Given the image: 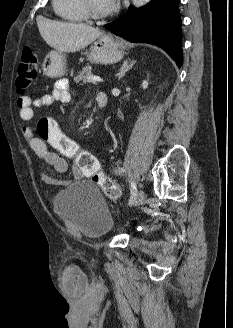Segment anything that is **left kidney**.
Instances as JSON below:
<instances>
[{"label": "left kidney", "instance_id": "obj_1", "mask_svg": "<svg viewBox=\"0 0 233 328\" xmlns=\"http://www.w3.org/2000/svg\"><path fill=\"white\" fill-rule=\"evenodd\" d=\"M142 87H143V89H146L148 87V81L144 80L142 82Z\"/></svg>", "mask_w": 233, "mask_h": 328}]
</instances>
